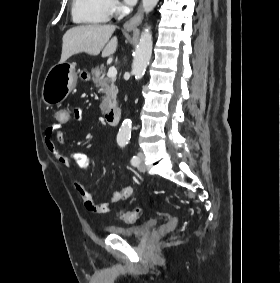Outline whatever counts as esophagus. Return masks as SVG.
<instances>
[{"label":"esophagus","instance_id":"1","mask_svg":"<svg viewBox=\"0 0 280 283\" xmlns=\"http://www.w3.org/2000/svg\"><path fill=\"white\" fill-rule=\"evenodd\" d=\"M142 19L143 10L142 4H140L137 13L124 24V29L128 31L136 29L137 26L142 22Z\"/></svg>","mask_w":280,"mask_h":283}]
</instances>
